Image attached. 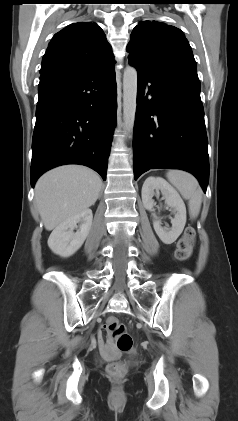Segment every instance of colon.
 Returning <instances> with one entry per match:
<instances>
[{
    "instance_id": "5ec220e1",
    "label": "colon",
    "mask_w": 238,
    "mask_h": 421,
    "mask_svg": "<svg viewBox=\"0 0 238 421\" xmlns=\"http://www.w3.org/2000/svg\"><path fill=\"white\" fill-rule=\"evenodd\" d=\"M195 242V230L191 227L186 228L179 238L175 250V257L180 261L187 260L192 253ZM106 329L114 340L116 347L121 352H129L133 346V340L128 333L125 325L116 318H110L107 321ZM107 371L109 375L115 378L122 377L126 368L120 362H113L108 365Z\"/></svg>"
}]
</instances>
